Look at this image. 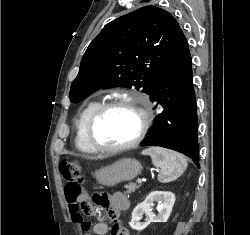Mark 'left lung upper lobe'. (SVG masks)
<instances>
[{
    "instance_id": "left-lung-upper-lobe-1",
    "label": "left lung upper lobe",
    "mask_w": 250,
    "mask_h": 235,
    "mask_svg": "<svg viewBox=\"0 0 250 235\" xmlns=\"http://www.w3.org/2000/svg\"><path fill=\"white\" fill-rule=\"evenodd\" d=\"M181 32L177 20L155 6L108 23L83 55L70 101L76 103L100 88L117 86L148 94Z\"/></svg>"
}]
</instances>
